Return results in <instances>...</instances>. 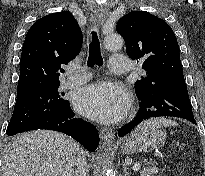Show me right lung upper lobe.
<instances>
[{"mask_svg":"<svg viewBox=\"0 0 205 176\" xmlns=\"http://www.w3.org/2000/svg\"><path fill=\"white\" fill-rule=\"evenodd\" d=\"M81 45V29L70 12L37 20L23 44L17 96L59 85L61 67L76 57Z\"/></svg>","mask_w":205,"mask_h":176,"instance_id":"obj_1","label":"right lung upper lobe"}]
</instances>
